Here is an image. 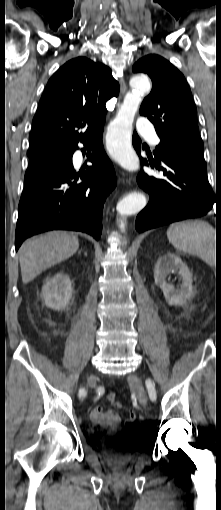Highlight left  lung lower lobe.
Listing matches in <instances>:
<instances>
[{
    "instance_id": "0a47b994",
    "label": "left lung lower lobe",
    "mask_w": 221,
    "mask_h": 510,
    "mask_svg": "<svg viewBox=\"0 0 221 510\" xmlns=\"http://www.w3.org/2000/svg\"><path fill=\"white\" fill-rule=\"evenodd\" d=\"M132 142L141 163L148 166V161L140 155L141 140L136 133L133 134ZM157 162L149 159L151 167L163 171L165 178L149 176L143 170L137 177L139 186L150 195L148 205L136 218L135 227L138 232L204 216L213 208L215 202L217 205V197L215 199L206 171L170 159ZM216 220L221 249V211Z\"/></svg>"
}]
</instances>
